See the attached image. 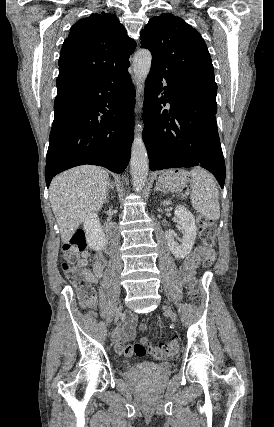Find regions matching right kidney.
<instances>
[{
    "label": "right kidney",
    "mask_w": 274,
    "mask_h": 427,
    "mask_svg": "<svg viewBox=\"0 0 274 427\" xmlns=\"http://www.w3.org/2000/svg\"><path fill=\"white\" fill-rule=\"evenodd\" d=\"M84 229L88 247L95 251L102 249L106 243V237L97 214L86 215Z\"/></svg>",
    "instance_id": "obj_1"
}]
</instances>
